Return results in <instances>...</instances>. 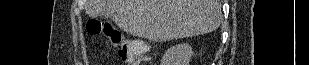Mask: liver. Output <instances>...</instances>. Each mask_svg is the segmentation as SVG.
Listing matches in <instances>:
<instances>
[{
	"label": "liver",
	"mask_w": 309,
	"mask_h": 65,
	"mask_svg": "<svg viewBox=\"0 0 309 65\" xmlns=\"http://www.w3.org/2000/svg\"><path fill=\"white\" fill-rule=\"evenodd\" d=\"M90 17L110 18L123 31L151 41L204 35L221 24L219 0H87Z\"/></svg>",
	"instance_id": "obj_1"
}]
</instances>
